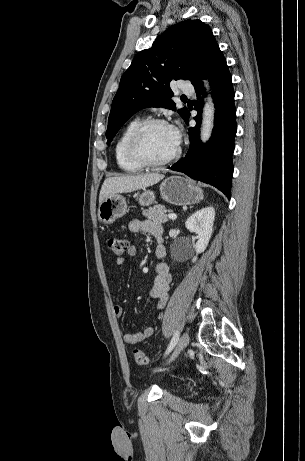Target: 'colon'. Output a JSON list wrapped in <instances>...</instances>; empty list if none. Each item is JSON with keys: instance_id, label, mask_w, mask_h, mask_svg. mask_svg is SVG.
<instances>
[{"instance_id": "1", "label": "colon", "mask_w": 305, "mask_h": 461, "mask_svg": "<svg viewBox=\"0 0 305 461\" xmlns=\"http://www.w3.org/2000/svg\"><path fill=\"white\" fill-rule=\"evenodd\" d=\"M108 250L115 256H122L127 249V241L124 238L110 237L107 242ZM133 357L137 364L147 365L149 363V358L141 350H134Z\"/></svg>"}]
</instances>
